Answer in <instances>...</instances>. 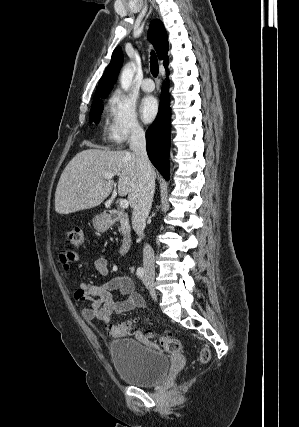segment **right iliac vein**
Instances as JSON below:
<instances>
[{
	"mask_svg": "<svg viewBox=\"0 0 299 427\" xmlns=\"http://www.w3.org/2000/svg\"><path fill=\"white\" fill-rule=\"evenodd\" d=\"M146 286L149 289L152 298L156 301L157 300V295H156V292H155L154 281L152 279H147L146 280Z\"/></svg>",
	"mask_w": 299,
	"mask_h": 427,
	"instance_id": "63e3f726",
	"label": "right iliac vein"
}]
</instances>
